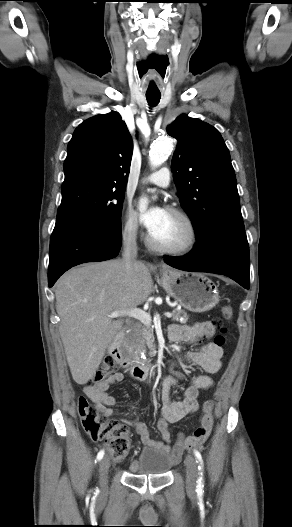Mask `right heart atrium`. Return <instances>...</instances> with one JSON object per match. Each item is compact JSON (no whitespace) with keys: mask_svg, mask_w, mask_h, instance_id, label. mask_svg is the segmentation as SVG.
I'll use <instances>...</instances> for the list:
<instances>
[{"mask_svg":"<svg viewBox=\"0 0 292 527\" xmlns=\"http://www.w3.org/2000/svg\"><path fill=\"white\" fill-rule=\"evenodd\" d=\"M138 234V222L132 210H127L124 216L122 235L127 241H133Z\"/></svg>","mask_w":292,"mask_h":527,"instance_id":"right-heart-atrium-1","label":"right heart atrium"}]
</instances>
